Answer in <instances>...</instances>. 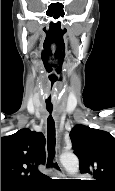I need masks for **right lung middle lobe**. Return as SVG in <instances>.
Segmentation results:
<instances>
[{
    "instance_id": "1",
    "label": "right lung middle lobe",
    "mask_w": 115,
    "mask_h": 191,
    "mask_svg": "<svg viewBox=\"0 0 115 191\" xmlns=\"http://www.w3.org/2000/svg\"><path fill=\"white\" fill-rule=\"evenodd\" d=\"M18 189H13V188H7V187H1V191H16Z\"/></svg>"
}]
</instances>
